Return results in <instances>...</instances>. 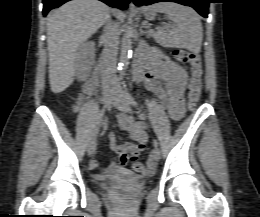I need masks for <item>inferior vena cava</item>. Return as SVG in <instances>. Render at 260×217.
<instances>
[{"instance_id":"1","label":"inferior vena cava","mask_w":260,"mask_h":217,"mask_svg":"<svg viewBox=\"0 0 260 217\" xmlns=\"http://www.w3.org/2000/svg\"><path fill=\"white\" fill-rule=\"evenodd\" d=\"M120 26L108 20L103 30L104 50L101 61V78L104 87L114 86L117 83L115 68L119 46Z\"/></svg>"}]
</instances>
